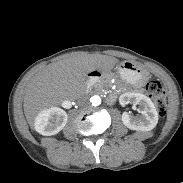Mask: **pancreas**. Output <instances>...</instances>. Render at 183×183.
<instances>
[{
	"label": "pancreas",
	"mask_w": 183,
	"mask_h": 183,
	"mask_svg": "<svg viewBox=\"0 0 183 183\" xmlns=\"http://www.w3.org/2000/svg\"><path fill=\"white\" fill-rule=\"evenodd\" d=\"M101 83L96 84V86L100 85Z\"/></svg>",
	"instance_id": "pancreas-1"
}]
</instances>
